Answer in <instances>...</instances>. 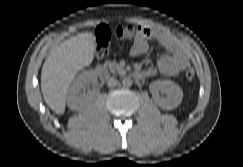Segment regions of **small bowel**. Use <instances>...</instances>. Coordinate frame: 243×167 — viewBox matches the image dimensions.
Returning a JSON list of instances; mask_svg holds the SVG:
<instances>
[{
    "label": "small bowel",
    "mask_w": 243,
    "mask_h": 167,
    "mask_svg": "<svg viewBox=\"0 0 243 167\" xmlns=\"http://www.w3.org/2000/svg\"><path fill=\"white\" fill-rule=\"evenodd\" d=\"M151 40L156 41L168 54L158 60L157 67L147 68L144 71V75L152 77L160 73L164 76H174L189 65L188 52L180 42L164 30L149 26L139 27V31L133 40L130 54L134 57L145 54Z\"/></svg>",
    "instance_id": "c3829d8e"
}]
</instances>
